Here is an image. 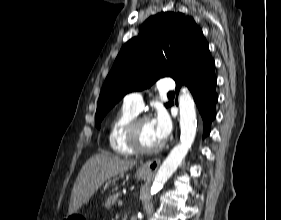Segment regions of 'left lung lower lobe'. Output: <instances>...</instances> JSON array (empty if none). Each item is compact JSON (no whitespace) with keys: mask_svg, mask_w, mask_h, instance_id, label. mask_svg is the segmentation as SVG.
<instances>
[{"mask_svg":"<svg viewBox=\"0 0 281 220\" xmlns=\"http://www.w3.org/2000/svg\"><path fill=\"white\" fill-rule=\"evenodd\" d=\"M216 82L215 62L209 50L194 58L185 73L176 81L177 93L182 84L191 91L202 116L204 137L210 133L211 122L216 117L215 105L218 101Z\"/></svg>","mask_w":281,"mask_h":220,"instance_id":"obj_1","label":"left lung lower lobe"}]
</instances>
